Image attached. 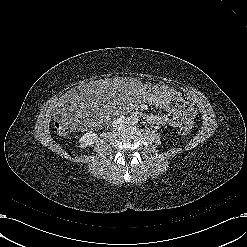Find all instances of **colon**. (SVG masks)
<instances>
[{
	"mask_svg": "<svg viewBox=\"0 0 247 247\" xmlns=\"http://www.w3.org/2000/svg\"><path fill=\"white\" fill-rule=\"evenodd\" d=\"M147 92L151 98L159 99L163 96L164 89L159 83L152 82L148 85ZM68 117H69V115H66V118H68ZM191 129H192L191 125H185L181 128L180 134L185 135V134L189 133ZM55 130H56V133L61 137L67 136V134L69 132V129H68V126H67V123L65 122V120L56 122L55 123Z\"/></svg>",
	"mask_w": 247,
	"mask_h": 247,
	"instance_id": "5ec220e1",
	"label": "colon"
}]
</instances>
